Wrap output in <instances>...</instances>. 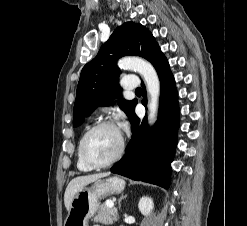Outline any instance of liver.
Wrapping results in <instances>:
<instances>
[{
	"mask_svg": "<svg viewBox=\"0 0 247 226\" xmlns=\"http://www.w3.org/2000/svg\"><path fill=\"white\" fill-rule=\"evenodd\" d=\"M109 173H98L93 175H85V176H79L70 181L68 184L65 195H64V203L67 211H69L71 206V201L75 194L84 186L88 185L89 183H92L100 178L108 176Z\"/></svg>",
	"mask_w": 247,
	"mask_h": 226,
	"instance_id": "liver-1",
	"label": "liver"
}]
</instances>
